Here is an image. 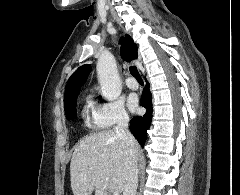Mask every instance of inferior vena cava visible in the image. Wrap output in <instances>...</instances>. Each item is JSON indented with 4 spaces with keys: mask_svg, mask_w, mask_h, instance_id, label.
Here are the masks:
<instances>
[{
    "mask_svg": "<svg viewBox=\"0 0 240 195\" xmlns=\"http://www.w3.org/2000/svg\"><path fill=\"white\" fill-rule=\"evenodd\" d=\"M129 115L128 113H121L117 125L115 127L116 137L122 139L130 149V173L123 189V195H135L138 185V161L136 153L137 141L128 129Z\"/></svg>",
    "mask_w": 240,
    "mask_h": 195,
    "instance_id": "obj_1",
    "label": "inferior vena cava"
}]
</instances>
